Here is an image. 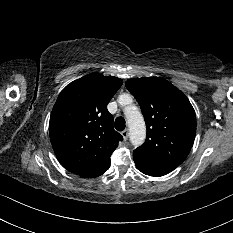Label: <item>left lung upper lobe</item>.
I'll list each match as a JSON object with an SVG mask.
<instances>
[{"mask_svg": "<svg viewBox=\"0 0 233 233\" xmlns=\"http://www.w3.org/2000/svg\"><path fill=\"white\" fill-rule=\"evenodd\" d=\"M126 87L138 101L147 128L140 154L178 167L189 154L196 134V115L187 97L157 77L133 78Z\"/></svg>", "mask_w": 233, "mask_h": 233, "instance_id": "5c2ea615", "label": "left lung upper lobe"}]
</instances>
